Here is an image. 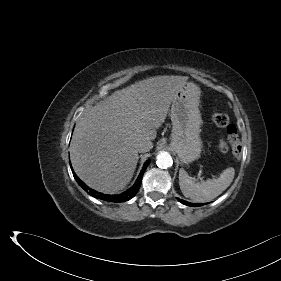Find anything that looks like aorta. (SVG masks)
Listing matches in <instances>:
<instances>
[{
    "label": "aorta",
    "instance_id": "aorta-1",
    "mask_svg": "<svg viewBox=\"0 0 281 281\" xmlns=\"http://www.w3.org/2000/svg\"><path fill=\"white\" fill-rule=\"evenodd\" d=\"M156 164L160 168H168V167L172 166L173 160H172L171 155L168 152H164V151L160 152L157 155Z\"/></svg>",
    "mask_w": 281,
    "mask_h": 281
}]
</instances>
